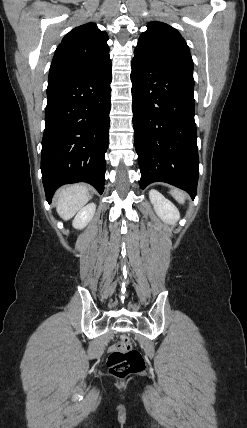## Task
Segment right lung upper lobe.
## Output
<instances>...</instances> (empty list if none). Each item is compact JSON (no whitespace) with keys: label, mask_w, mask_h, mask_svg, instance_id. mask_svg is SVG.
<instances>
[{"label":"right lung upper lobe","mask_w":247,"mask_h":428,"mask_svg":"<svg viewBox=\"0 0 247 428\" xmlns=\"http://www.w3.org/2000/svg\"><path fill=\"white\" fill-rule=\"evenodd\" d=\"M106 32L94 23L71 30L55 51L49 81L86 72L109 58Z\"/></svg>","instance_id":"cb5924a9"}]
</instances>
